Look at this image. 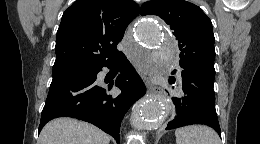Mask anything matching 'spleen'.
<instances>
[{
	"label": "spleen",
	"mask_w": 260,
	"mask_h": 144,
	"mask_svg": "<svg viewBox=\"0 0 260 144\" xmlns=\"http://www.w3.org/2000/svg\"><path fill=\"white\" fill-rule=\"evenodd\" d=\"M176 144H220L218 134L203 125H191L176 129Z\"/></svg>",
	"instance_id": "spleen-1"
}]
</instances>
